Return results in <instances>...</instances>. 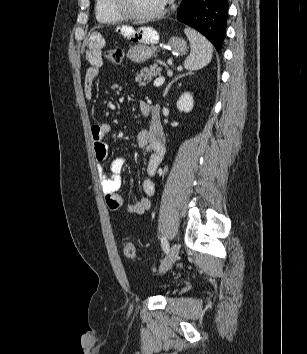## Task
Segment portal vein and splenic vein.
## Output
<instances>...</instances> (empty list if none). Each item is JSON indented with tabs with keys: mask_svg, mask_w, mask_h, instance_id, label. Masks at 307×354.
Segmentation results:
<instances>
[{
	"mask_svg": "<svg viewBox=\"0 0 307 354\" xmlns=\"http://www.w3.org/2000/svg\"><path fill=\"white\" fill-rule=\"evenodd\" d=\"M164 82H165V77L160 76V77H158V78L154 81L153 85H154L155 87H159V86H161Z\"/></svg>",
	"mask_w": 307,
	"mask_h": 354,
	"instance_id": "portal-vein-and-splenic-vein-1",
	"label": "portal vein and splenic vein"
}]
</instances>
